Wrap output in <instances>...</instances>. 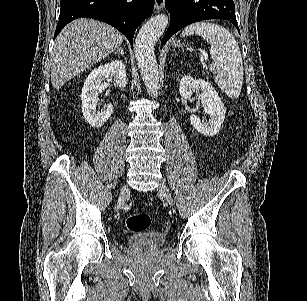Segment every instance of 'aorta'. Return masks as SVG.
Returning a JSON list of instances; mask_svg holds the SVG:
<instances>
[{
  "label": "aorta",
  "mask_w": 307,
  "mask_h": 301,
  "mask_svg": "<svg viewBox=\"0 0 307 301\" xmlns=\"http://www.w3.org/2000/svg\"><path fill=\"white\" fill-rule=\"evenodd\" d=\"M168 22L166 14H155L142 24L135 38L134 50L139 72L148 92L154 96L159 94V74L154 46L167 28Z\"/></svg>",
  "instance_id": "762f6f07"
}]
</instances>
